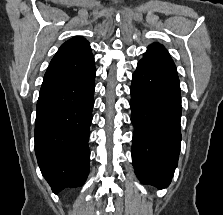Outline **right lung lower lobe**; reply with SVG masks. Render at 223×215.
<instances>
[{
	"instance_id": "right-lung-lower-lobe-1",
	"label": "right lung lower lobe",
	"mask_w": 223,
	"mask_h": 215,
	"mask_svg": "<svg viewBox=\"0 0 223 215\" xmlns=\"http://www.w3.org/2000/svg\"><path fill=\"white\" fill-rule=\"evenodd\" d=\"M95 67L83 77L40 90L35 122V153L54 193L81 187L89 173Z\"/></svg>"
}]
</instances>
